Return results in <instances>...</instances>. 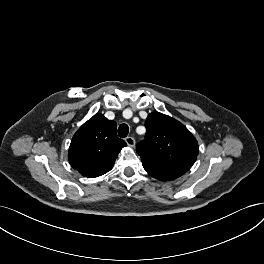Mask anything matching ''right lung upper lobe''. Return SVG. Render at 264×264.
<instances>
[{
	"label": "right lung upper lobe",
	"instance_id": "obj_1",
	"mask_svg": "<svg viewBox=\"0 0 264 264\" xmlns=\"http://www.w3.org/2000/svg\"><path fill=\"white\" fill-rule=\"evenodd\" d=\"M116 122L95 114L72 138L68 158L71 166L85 177L110 171L126 142L117 137Z\"/></svg>",
	"mask_w": 264,
	"mask_h": 264
}]
</instances>
